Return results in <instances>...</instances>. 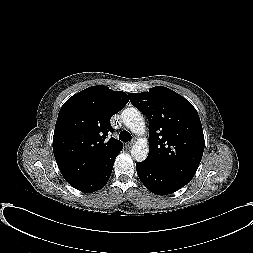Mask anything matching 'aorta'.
<instances>
[{"label": "aorta", "mask_w": 253, "mask_h": 253, "mask_svg": "<svg viewBox=\"0 0 253 253\" xmlns=\"http://www.w3.org/2000/svg\"><path fill=\"white\" fill-rule=\"evenodd\" d=\"M122 120L131 132L142 135L146 131V125L142 113L134 108L128 107L122 112ZM148 143L145 139L138 140L131 149V156L138 162L144 161L148 156Z\"/></svg>", "instance_id": "762f6f07"}]
</instances>
